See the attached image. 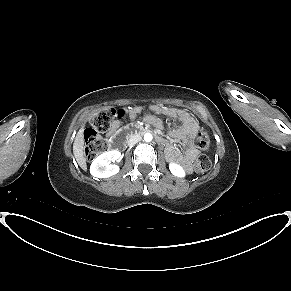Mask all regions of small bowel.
<instances>
[{
  "label": "small bowel",
  "mask_w": 291,
  "mask_h": 291,
  "mask_svg": "<svg viewBox=\"0 0 291 291\" xmlns=\"http://www.w3.org/2000/svg\"><path fill=\"white\" fill-rule=\"evenodd\" d=\"M123 110L125 112L124 116L121 117L120 119L115 120L111 125V128L108 133L110 141L114 140L115 136L118 133V130L121 128L123 123L122 119H124L127 116L131 119L136 118L137 115L141 113L142 108L141 107H134L129 109L123 108ZM150 110L154 114H161L180 122V127L171 130L170 134L173 138L182 140L184 142V144L186 145L185 152L182 155L177 150V148L174 147L172 144H167L166 151L170 160L182 163L183 167L186 170H189L191 163L198 156V151L193 146L192 143L193 138L195 137L199 130V125L197 121L190 115V113L183 109L151 106ZM145 121L155 127L161 126V120L153 115L146 116Z\"/></svg>",
  "instance_id": "1"
}]
</instances>
